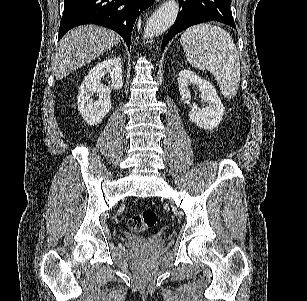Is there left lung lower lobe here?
Wrapping results in <instances>:
<instances>
[{
    "label": "left lung lower lobe",
    "instance_id": "left-lung-lower-lobe-1",
    "mask_svg": "<svg viewBox=\"0 0 307 301\" xmlns=\"http://www.w3.org/2000/svg\"><path fill=\"white\" fill-rule=\"evenodd\" d=\"M181 11L171 27L164 36L161 50L179 32L192 25L207 21H219L236 28L230 10L231 0H178Z\"/></svg>",
    "mask_w": 307,
    "mask_h": 301
}]
</instances>
